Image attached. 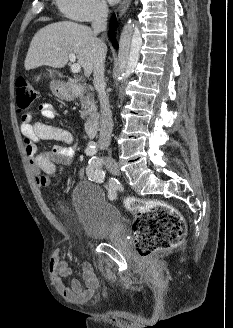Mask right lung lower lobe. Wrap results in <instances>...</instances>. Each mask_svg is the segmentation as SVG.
Wrapping results in <instances>:
<instances>
[{"label":"right lung lower lobe","instance_id":"obj_1","mask_svg":"<svg viewBox=\"0 0 233 328\" xmlns=\"http://www.w3.org/2000/svg\"><path fill=\"white\" fill-rule=\"evenodd\" d=\"M116 18L115 16L112 17L111 19V29H110V32H109V36H110V39L112 41V44L113 46L117 49L118 48V44L114 41V22H115Z\"/></svg>","mask_w":233,"mask_h":328}]
</instances>
